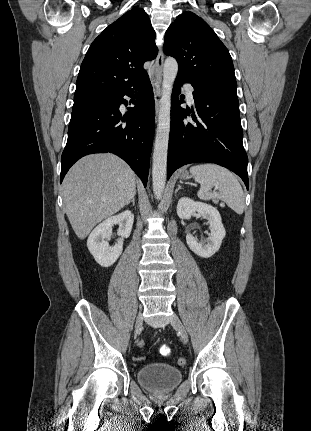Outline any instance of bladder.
<instances>
[{"mask_svg": "<svg viewBox=\"0 0 311 431\" xmlns=\"http://www.w3.org/2000/svg\"><path fill=\"white\" fill-rule=\"evenodd\" d=\"M137 380L147 390L164 394L173 391L182 381L180 369L167 363H150L137 371Z\"/></svg>", "mask_w": 311, "mask_h": 431, "instance_id": "bladder-1", "label": "bladder"}]
</instances>
